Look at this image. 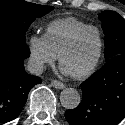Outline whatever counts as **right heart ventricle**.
Masks as SVG:
<instances>
[{
  "label": "right heart ventricle",
  "mask_w": 125,
  "mask_h": 125,
  "mask_svg": "<svg viewBox=\"0 0 125 125\" xmlns=\"http://www.w3.org/2000/svg\"><path fill=\"white\" fill-rule=\"evenodd\" d=\"M87 25V23L75 17L56 19L46 26L44 37L49 48L58 56L60 49L71 35Z\"/></svg>",
  "instance_id": "right-heart-ventricle-1"
}]
</instances>
